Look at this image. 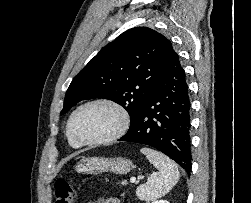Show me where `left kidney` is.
Here are the masks:
<instances>
[{
	"mask_svg": "<svg viewBox=\"0 0 251 203\" xmlns=\"http://www.w3.org/2000/svg\"><path fill=\"white\" fill-rule=\"evenodd\" d=\"M153 203H169L167 200H157L154 201Z\"/></svg>",
	"mask_w": 251,
	"mask_h": 203,
	"instance_id": "left-kidney-1",
	"label": "left kidney"
}]
</instances>
